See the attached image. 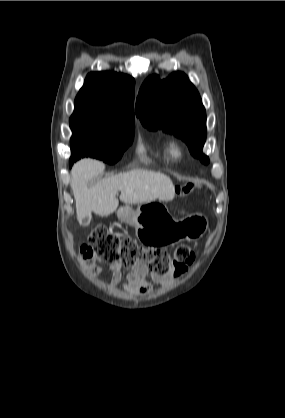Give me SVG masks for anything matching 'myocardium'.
<instances>
[{
    "label": "myocardium",
    "mask_w": 285,
    "mask_h": 418,
    "mask_svg": "<svg viewBox=\"0 0 285 418\" xmlns=\"http://www.w3.org/2000/svg\"><path fill=\"white\" fill-rule=\"evenodd\" d=\"M168 151L170 155L174 158H178L182 155L183 145L180 140L172 139L168 143Z\"/></svg>",
    "instance_id": "myocardium-1"
}]
</instances>
